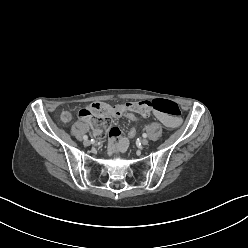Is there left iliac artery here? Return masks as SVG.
Here are the masks:
<instances>
[{
    "instance_id": "1",
    "label": "left iliac artery",
    "mask_w": 248,
    "mask_h": 248,
    "mask_svg": "<svg viewBox=\"0 0 248 248\" xmlns=\"http://www.w3.org/2000/svg\"><path fill=\"white\" fill-rule=\"evenodd\" d=\"M142 136H143L144 138H146V137H147V134H146V133H143Z\"/></svg>"
}]
</instances>
